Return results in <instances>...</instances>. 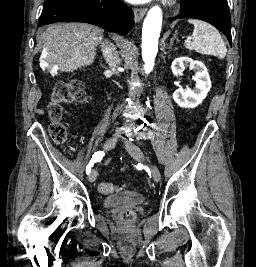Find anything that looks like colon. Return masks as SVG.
Listing matches in <instances>:
<instances>
[{"label": "colon", "instance_id": "obj_1", "mask_svg": "<svg viewBox=\"0 0 256 267\" xmlns=\"http://www.w3.org/2000/svg\"><path fill=\"white\" fill-rule=\"evenodd\" d=\"M87 100V94L79 81L61 84L52 90V97L47 106V113L51 121L49 128L51 138L57 143H65L68 135L65 126L61 123L64 115V105L70 103H82ZM125 188L124 185L111 182H101L99 191L103 194H114ZM121 224H129L134 219V212L126 210L121 213Z\"/></svg>", "mask_w": 256, "mask_h": 267}]
</instances>
